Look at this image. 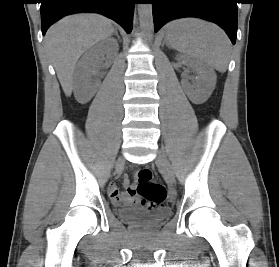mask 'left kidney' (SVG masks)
<instances>
[{
	"mask_svg": "<svg viewBox=\"0 0 279 267\" xmlns=\"http://www.w3.org/2000/svg\"><path fill=\"white\" fill-rule=\"evenodd\" d=\"M181 59H184L187 65L197 74L196 81L193 84L182 81V87L192 103L203 104L215 88L216 73L198 59L186 56H181Z\"/></svg>",
	"mask_w": 279,
	"mask_h": 267,
	"instance_id": "5707ae66",
	"label": "left kidney"
}]
</instances>
